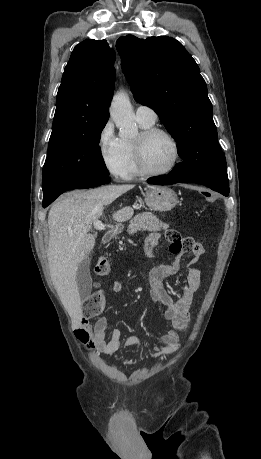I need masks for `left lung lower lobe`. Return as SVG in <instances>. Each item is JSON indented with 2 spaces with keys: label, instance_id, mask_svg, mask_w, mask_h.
<instances>
[{
  "label": "left lung lower lobe",
  "instance_id": "obj_1",
  "mask_svg": "<svg viewBox=\"0 0 261 459\" xmlns=\"http://www.w3.org/2000/svg\"><path fill=\"white\" fill-rule=\"evenodd\" d=\"M183 182H194L205 185L224 196L229 195V181L226 168H209L185 176L179 170L173 169L168 175L151 178L148 183L169 185Z\"/></svg>",
  "mask_w": 261,
  "mask_h": 459
}]
</instances>
